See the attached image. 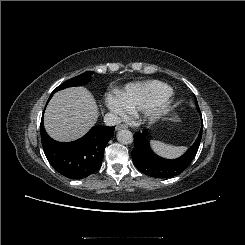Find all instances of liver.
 Instances as JSON below:
<instances>
[{
	"label": "liver",
	"mask_w": 245,
	"mask_h": 245,
	"mask_svg": "<svg viewBox=\"0 0 245 245\" xmlns=\"http://www.w3.org/2000/svg\"><path fill=\"white\" fill-rule=\"evenodd\" d=\"M98 107L85 87H72L57 92L44 115V126L53 139L61 142L76 140L95 125Z\"/></svg>",
	"instance_id": "1"
}]
</instances>
